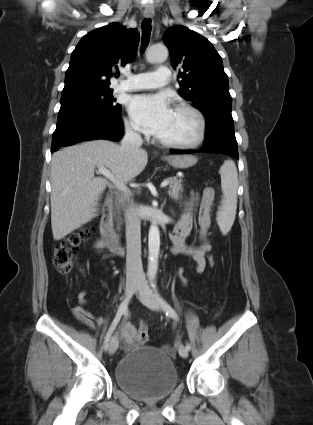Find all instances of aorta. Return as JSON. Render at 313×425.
I'll return each mask as SVG.
<instances>
[{
  "instance_id": "1",
  "label": "aorta",
  "mask_w": 313,
  "mask_h": 425,
  "mask_svg": "<svg viewBox=\"0 0 313 425\" xmlns=\"http://www.w3.org/2000/svg\"><path fill=\"white\" fill-rule=\"evenodd\" d=\"M168 58V49L163 45L152 46L147 52V60L151 63L164 62ZM160 251V233L156 223H152L148 234V276L154 279L158 269Z\"/></svg>"
}]
</instances>
